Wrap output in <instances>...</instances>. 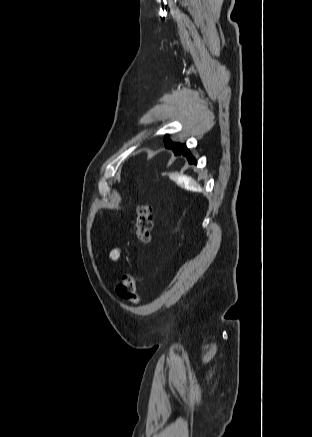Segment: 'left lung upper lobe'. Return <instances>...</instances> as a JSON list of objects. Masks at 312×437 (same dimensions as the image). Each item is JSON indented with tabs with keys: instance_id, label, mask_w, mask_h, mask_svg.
Wrapping results in <instances>:
<instances>
[{
	"instance_id": "left-lung-upper-lobe-1",
	"label": "left lung upper lobe",
	"mask_w": 312,
	"mask_h": 437,
	"mask_svg": "<svg viewBox=\"0 0 312 437\" xmlns=\"http://www.w3.org/2000/svg\"><path fill=\"white\" fill-rule=\"evenodd\" d=\"M169 142H172V141L168 138V135H165V143H169Z\"/></svg>"
}]
</instances>
